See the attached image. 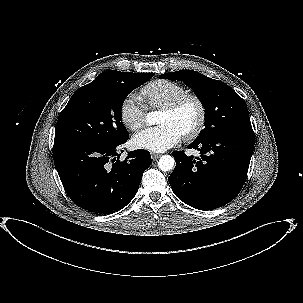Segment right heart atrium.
Here are the masks:
<instances>
[{"mask_svg":"<svg viewBox=\"0 0 303 303\" xmlns=\"http://www.w3.org/2000/svg\"><path fill=\"white\" fill-rule=\"evenodd\" d=\"M119 112L121 121L131 131L141 129L146 122L147 107L134 93L122 100Z\"/></svg>","mask_w":303,"mask_h":303,"instance_id":"1","label":"right heart atrium"}]
</instances>
